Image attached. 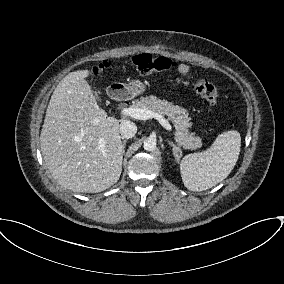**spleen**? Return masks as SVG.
<instances>
[{
    "label": "spleen",
    "mask_w": 284,
    "mask_h": 284,
    "mask_svg": "<svg viewBox=\"0 0 284 284\" xmlns=\"http://www.w3.org/2000/svg\"><path fill=\"white\" fill-rule=\"evenodd\" d=\"M240 147V133L226 131L218 135L206 151L186 155L180 163L185 187L191 191H203L223 181L233 170Z\"/></svg>",
    "instance_id": "obj_1"
}]
</instances>
